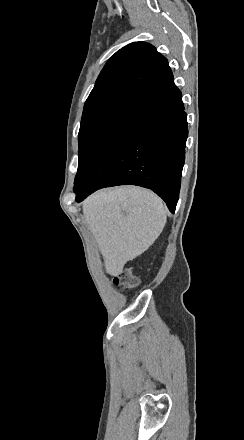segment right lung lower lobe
Instances as JSON below:
<instances>
[{
  "instance_id": "98d812e1",
  "label": "right lung lower lobe",
  "mask_w": 244,
  "mask_h": 440,
  "mask_svg": "<svg viewBox=\"0 0 244 440\" xmlns=\"http://www.w3.org/2000/svg\"><path fill=\"white\" fill-rule=\"evenodd\" d=\"M187 136L182 95L171 77L140 98L108 134L75 183L76 201L100 188L133 184L153 190L174 213Z\"/></svg>"
}]
</instances>
